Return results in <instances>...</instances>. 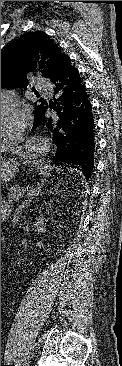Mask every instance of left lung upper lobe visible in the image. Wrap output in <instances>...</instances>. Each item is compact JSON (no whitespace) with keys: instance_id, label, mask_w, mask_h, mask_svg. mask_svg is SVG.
<instances>
[{"instance_id":"5c2ea615","label":"left lung upper lobe","mask_w":122,"mask_h":366,"mask_svg":"<svg viewBox=\"0 0 122 366\" xmlns=\"http://www.w3.org/2000/svg\"><path fill=\"white\" fill-rule=\"evenodd\" d=\"M66 57L68 55L63 53L45 32H28L1 52V87L26 88L29 84L26 74L37 67V61L40 60V75L47 78L58 69ZM32 92L40 97L35 88H32ZM42 100L43 98H40L39 102Z\"/></svg>"}]
</instances>
